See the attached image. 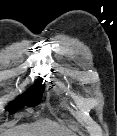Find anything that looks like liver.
<instances>
[{
  "mask_svg": "<svg viewBox=\"0 0 117 136\" xmlns=\"http://www.w3.org/2000/svg\"><path fill=\"white\" fill-rule=\"evenodd\" d=\"M48 127H51L50 123L44 122V121H38L33 124L26 125V126L20 128V131L22 132L20 134H27V135H19V136H33V135H28V134H31L29 131L46 129ZM52 127H55V126H52Z\"/></svg>",
  "mask_w": 117,
  "mask_h": 136,
  "instance_id": "obj_1",
  "label": "liver"
}]
</instances>
